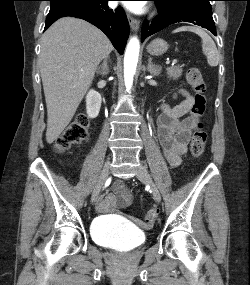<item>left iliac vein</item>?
<instances>
[{"mask_svg":"<svg viewBox=\"0 0 250 285\" xmlns=\"http://www.w3.org/2000/svg\"><path fill=\"white\" fill-rule=\"evenodd\" d=\"M136 176L137 178L147 184L149 187H150V191L153 195V198L156 202H160L161 201V195H160V192L157 188V186L155 185V183L153 182L148 170L146 169L145 166L143 165H140L138 170H137V173H136Z\"/></svg>","mask_w":250,"mask_h":285,"instance_id":"left-iliac-vein-1","label":"left iliac vein"}]
</instances>
